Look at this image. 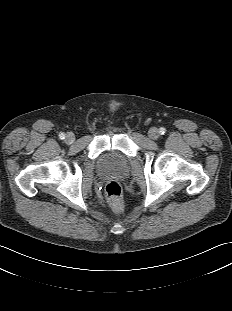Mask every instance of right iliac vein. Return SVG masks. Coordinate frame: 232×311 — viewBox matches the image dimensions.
<instances>
[{"label": "right iliac vein", "instance_id": "obj_1", "mask_svg": "<svg viewBox=\"0 0 232 311\" xmlns=\"http://www.w3.org/2000/svg\"><path fill=\"white\" fill-rule=\"evenodd\" d=\"M74 140H75V136H74L73 133H68V134L66 135V137H65V142H66L67 144L73 143Z\"/></svg>", "mask_w": 232, "mask_h": 311}]
</instances>
